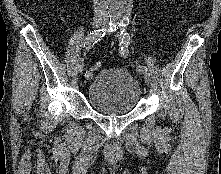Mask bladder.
<instances>
[{"mask_svg":"<svg viewBox=\"0 0 221 174\" xmlns=\"http://www.w3.org/2000/svg\"><path fill=\"white\" fill-rule=\"evenodd\" d=\"M141 87L124 68L112 67L98 72L87 88V100L98 113L122 115L132 112L139 103Z\"/></svg>","mask_w":221,"mask_h":174,"instance_id":"bladder-1","label":"bladder"}]
</instances>
